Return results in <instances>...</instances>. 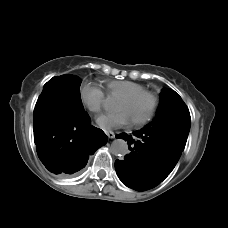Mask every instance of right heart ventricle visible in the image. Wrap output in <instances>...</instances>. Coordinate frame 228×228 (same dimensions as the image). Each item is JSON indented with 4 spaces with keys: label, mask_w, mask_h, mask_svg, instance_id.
<instances>
[{
    "label": "right heart ventricle",
    "mask_w": 228,
    "mask_h": 228,
    "mask_svg": "<svg viewBox=\"0 0 228 228\" xmlns=\"http://www.w3.org/2000/svg\"><path fill=\"white\" fill-rule=\"evenodd\" d=\"M148 91L140 83L132 81H112L107 86L108 99L116 107H120L130 97Z\"/></svg>",
    "instance_id": "e07e8e85"
}]
</instances>
